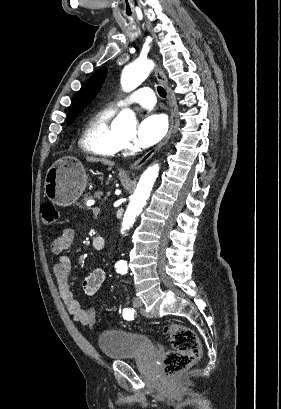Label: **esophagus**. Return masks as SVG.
I'll list each match as a JSON object with an SVG mask.
<instances>
[{
  "label": "esophagus",
  "mask_w": 281,
  "mask_h": 409,
  "mask_svg": "<svg viewBox=\"0 0 281 409\" xmlns=\"http://www.w3.org/2000/svg\"><path fill=\"white\" fill-rule=\"evenodd\" d=\"M155 75L157 77L158 82H160L162 85H164V87L168 88L167 77L164 74L163 70L160 68V66H157L155 68ZM170 107H171V104H170ZM173 126H174V113H173V110H172V107H171V109H170V126H169L167 134L165 135L164 140L162 142H160V144H158L157 147H155L152 150H149V152H146V154H144L140 159L136 160V162L131 164L130 168L133 169V170L140 169L152 157V155H154L161 147H163V145H165L166 142H168L170 136L172 135Z\"/></svg>",
  "instance_id": "34e87169"
}]
</instances>
